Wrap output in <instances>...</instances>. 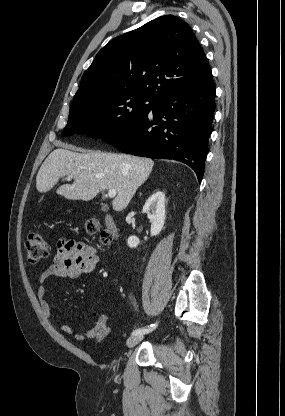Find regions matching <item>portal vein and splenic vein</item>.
Listing matches in <instances>:
<instances>
[{"instance_id": "portal-vein-and-splenic-vein-1", "label": "portal vein and splenic vein", "mask_w": 285, "mask_h": 416, "mask_svg": "<svg viewBox=\"0 0 285 416\" xmlns=\"http://www.w3.org/2000/svg\"><path fill=\"white\" fill-rule=\"evenodd\" d=\"M69 180H71V178H69ZM107 196L108 198H115V196H117L116 190H108Z\"/></svg>"}]
</instances>
